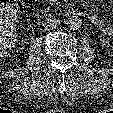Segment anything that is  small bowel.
I'll use <instances>...</instances> for the list:
<instances>
[{
    "instance_id": "c3829d8e",
    "label": "small bowel",
    "mask_w": 113,
    "mask_h": 113,
    "mask_svg": "<svg viewBox=\"0 0 113 113\" xmlns=\"http://www.w3.org/2000/svg\"><path fill=\"white\" fill-rule=\"evenodd\" d=\"M91 22L101 29L105 34L113 36V24H108L103 18L96 14L90 15Z\"/></svg>"
}]
</instances>
